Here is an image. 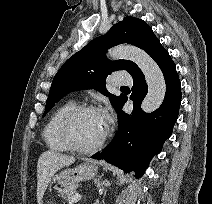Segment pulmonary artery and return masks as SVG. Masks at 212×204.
Returning <instances> with one entry per match:
<instances>
[{
	"mask_svg": "<svg viewBox=\"0 0 212 204\" xmlns=\"http://www.w3.org/2000/svg\"><path fill=\"white\" fill-rule=\"evenodd\" d=\"M116 85H126L132 83V78L127 74H118L114 80Z\"/></svg>",
	"mask_w": 212,
	"mask_h": 204,
	"instance_id": "pulmonary-artery-1",
	"label": "pulmonary artery"
}]
</instances>
